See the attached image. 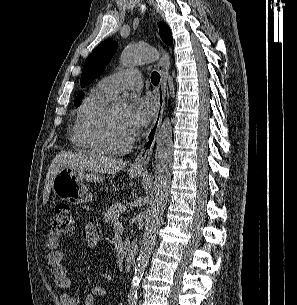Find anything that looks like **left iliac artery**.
Masks as SVG:
<instances>
[{"instance_id": "44dca946", "label": "left iliac artery", "mask_w": 297, "mask_h": 305, "mask_svg": "<svg viewBox=\"0 0 297 305\" xmlns=\"http://www.w3.org/2000/svg\"><path fill=\"white\" fill-rule=\"evenodd\" d=\"M128 305H137V295H130Z\"/></svg>"}]
</instances>
